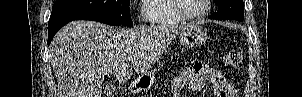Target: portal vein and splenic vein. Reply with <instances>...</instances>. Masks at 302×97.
Segmentation results:
<instances>
[{
    "label": "portal vein and splenic vein",
    "instance_id": "18ae733b",
    "mask_svg": "<svg viewBox=\"0 0 302 97\" xmlns=\"http://www.w3.org/2000/svg\"><path fill=\"white\" fill-rule=\"evenodd\" d=\"M128 59H129V61L132 62V61H134L135 57L131 56V57H129Z\"/></svg>",
    "mask_w": 302,
    "mask_h": 97
}]
</instances>
